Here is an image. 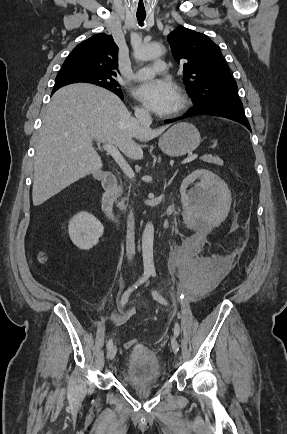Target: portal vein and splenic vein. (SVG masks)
Returning <instances> with one entry per match:
<instances>
[{"label":"portal vein and splenic vein","mask_w":287,"mask_h":434,"mask_svg":"<svg viewBox=\"0 0 287 434\" xmlns=\"http://www.w3.org/2000/svg\"><path fill=\"white\" fill-rule=\"evenodd\" d=\"M99 146H100V142H99ZM101 148L113 157V159L120 166L121 170L124 172V174L127 177H129L130 179L134 178L135 174H134L132 168L125 161L124 157L121 155V153L119 152V150L117 149L116 146L109 144V143H103ZM197 157H198L197 154H192V155L188 156L187 158H185L182 161V164L189 163V162L195 160Z\"/></svg>","instance_id":"obj_1"}]
</instances>
